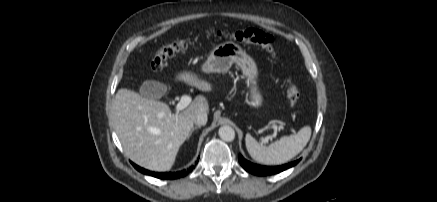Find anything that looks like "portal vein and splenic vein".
Here are the masks:
<instances>
[{
    "instance_id": "18ae733b",
    "label": "portal vein and splenic vein",
    "mask_w": 437,
    "mask_h": 202,
    "mask_svg": "<svg viewBox=\"0 0 437 202\" xmlns=\"http://www.w3.org/2000/svg\"><path fill=\"white\" fill-rule=\"evenodd\" d=\"M190 102H191V97L188 96V95H183V96L181 97V99H180V102H179V103L176 105V107H175L176 112L178 113L179 111L185 109V108L190 104ZM274 130H275L274 135H273V136L266 137V138L264 139L265 142H267V141H268L269 139H271L272 137H275V136H276L277 126H274Z\"/></svg>"
}]
</instances>
